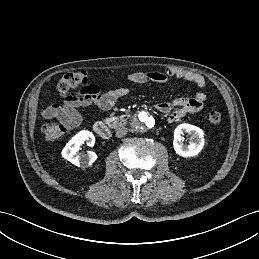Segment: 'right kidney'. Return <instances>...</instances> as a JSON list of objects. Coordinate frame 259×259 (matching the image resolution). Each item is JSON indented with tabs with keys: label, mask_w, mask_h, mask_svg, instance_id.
Masks as SVG:
<instances>
[{
	"label": "right kidney",
	"mask_w": 259,
	"mask_h": 259,
	"mask_svg": "<svg viewBox=\"0 0 259 259\" xmlns=\"http://www.w3.org/2000/svg\"><path fill=\"white\" fill-rule=\"evenodd\" d=\"M85 141L89 146H93L95 143V137L90 131L82 130L72 137V139L63 148L62 157L76 166L92 165V163L97 159L95 152L88 151L87 154H78L80 145Z\"/></svg>",
	"instance_id": "right-kidney-1"
}]
</instances>
